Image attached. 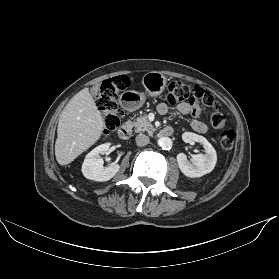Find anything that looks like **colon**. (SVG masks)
Listing matches in <instances>:
<instances>
[{"label":"colon","instance_id":"obj_1","mask_svg":"<svg viewBox=\"0 0 279 279\" xmlns=\"http://www.w3.org/2000/svg\"><path fill=\"white\" fill-rule=\"evenodd\" d=\"M129 86L126 76H117L102 82L96 90V103L103 118V133L110 134L120 124L119 95ZM166 99L171 105L189 102L193 114L198 116L202 111L212 110L210 122L219 129V143L229 150L235 141V131L226 125V115L220 111L219 103L212 93L198 85H189L181 81H172L168 85Z\"/></svg>","mask_w":279,"mask_h":279}]
</instances>
